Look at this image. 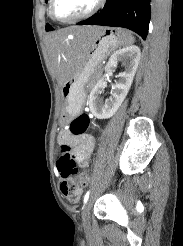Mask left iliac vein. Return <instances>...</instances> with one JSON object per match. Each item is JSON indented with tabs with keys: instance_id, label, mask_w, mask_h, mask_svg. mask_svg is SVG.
<instances>
[{
	"instance_id": "left-iliac-vein-1",
	"label": "left iliac vein",
	"mask_w": 183,
	"mask_h": 246,
	"mask_svg": "<svg viewBox=\"0 0 183 246\" xmlns=\"http://www.w3.org/2000/svg\"><path fill=\"white\" fill-rule=\"evenodd\" d=\"M91 205H92V199L90 198L82 212V221H83V226L85 229H89L90 227V216L89 215H90Z\"/></svg>"
}]
</instances>
